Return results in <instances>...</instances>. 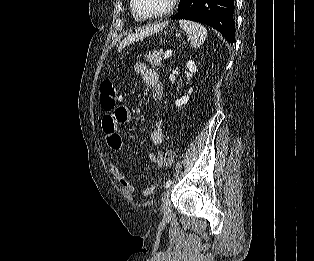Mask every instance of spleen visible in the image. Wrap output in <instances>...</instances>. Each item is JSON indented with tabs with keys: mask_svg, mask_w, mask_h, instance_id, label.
I'll return each instance as SVG.
<instances>
[{
	"mask_svg": "<svg viewBox=\"0 0 314 261\" xmlns=\"http://www.w3.org/2000/svg\"><path fill=\"white\" fill-rule=\"evenodd\" d=\"M180 27L188 34L193 48L200 47L207 38V29L196 22L181 20Z\"/></svg>",
	"mask_w": 314,
	"mask_h": 261,
	"instance_id": "1",
	"label": "spleen"
}]
</instances>
